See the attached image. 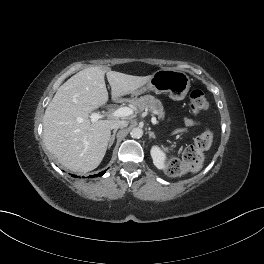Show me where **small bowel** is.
I'll list each match as a JSON object with an SVG mask.
<instances>
[{"label": "small bowel", "mask_w": 264, "mask_h": 264, "mask_svg": "<svg viewBox=\"0 0 264 264\" xmlns=\"http://www.w3.org/2000/svg\"><path fill=\"white\" fill-rule=\"evenodd\" d=\"M197 125V122L191 118H184L183 120V127L176 130V132H186L190 127Z\"/></svg>", "instance_id": "c3829d8e"}]
</instances>
